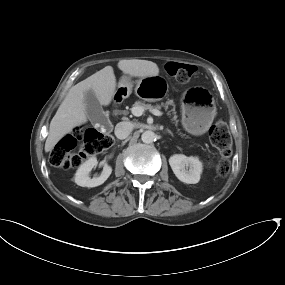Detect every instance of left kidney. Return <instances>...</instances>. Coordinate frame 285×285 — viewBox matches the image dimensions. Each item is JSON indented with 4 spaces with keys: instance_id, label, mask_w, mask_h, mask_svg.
I'll use <instances>...</instances> for the list:
<instances>
[{
    "instance_id": "5707ae66",
    "label": "left kidney",
    "mask_w": 285,
    "mask_h": 285,
    "mask_svg": "<svg viewBox=\"0 0 285 285\" xmlns=\"http://www.w3.org/2000/svg\"><path fill=\"white\" fill-rule=\"evenodd\" d=\"M169 164L180 181L187 184L199 182L203 165L198 157L175 154L169 158Z\"/></svg>"
}]
</instances>
